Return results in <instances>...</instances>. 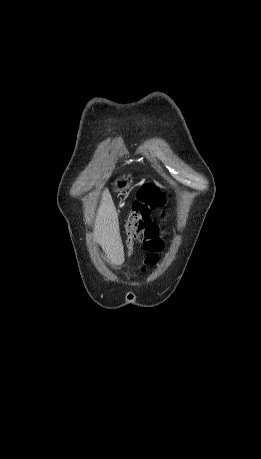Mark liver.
I'll return each instance as SVG.
<instances>
[{"mask_svg":"<svg viewBox=\"0 0 261 459\" xmlns=\"http://www.w3.org/2000/svg\"><path fill=\"white\" fill-rule=\"evenodd\" d=\"M94 237L101 245L107 260L120 266L124 262L123 246L115 224L111 221L108 204L103 200L94 227Z\"/></svg>","mask_w":261,"mask_h":459,"instance_id":"1","label":"liver"}]
</instances>
